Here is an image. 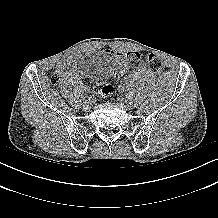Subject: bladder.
Masks as SVG:
<instances>
[{
    "mask_svg": "<svg viewBox=\"0 0 218 218\" xmlns=\"http://www.w3.org/2000/svg\"><path fill=\"white\" fill-rule=\"evenodd\" d=\"M85 64L88 69V72L92 76L99 77L106 72L109 66V59L103 55L93 56V57H89L86 60Z\"/></svg>",
    "mask_w": 218,
    "mask_h": 218,
    "instance_id": "31cf9c89",
    "label": "bladder"
}]
</instances>
